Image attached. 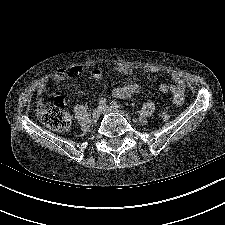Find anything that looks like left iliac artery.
<instances>
[{
	"label": "left iliac artery",
	"mask_w": 225,
	"mask_h": 225,
	"mask_svg": "<svg viewBox=\"0 0 225 225\" xmlns=\"http://www.w3.org/2000/svg\"><path fill=\"white\" fill-rule=\"evenodd\" d=\"M111 107H114V108H124L123 106H121L120 103H118L117 101H112L110 103Z\"/></svg>",
	"instance_id": "obj_1"
}]
</instances>
